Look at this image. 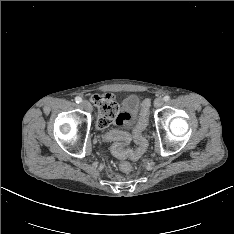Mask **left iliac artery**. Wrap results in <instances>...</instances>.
<instances>
[{"label": "left iliac artery", "mask_w": 234, "mask_h": 234, "mask_svg": "<svg viewBox=\"0 0 234 234\" xmlns=\"http://www.w3.org/2000/svg\"><path fill=\"white\" fill-rule=\"evenodd\" d=\"M164 101H168V100H170V96H168V95H166V96H164Z\"/></svg>", "instance_id": "left-iliac-artery-1"}]
</instances>
